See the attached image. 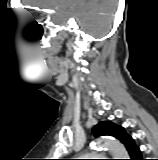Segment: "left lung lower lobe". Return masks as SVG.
I'll return each instance as SVG.
<instances>
[{
    "label": "left lung lower lobe",
    "instance_id": "0a47b994",
    "mask_svg": "<svg viewBox=\"0 0 158 160\" xmlns=\"http://www.w3.org/2000/svg\"><path fill=\"white\" fill-rule=\"evenodd\" d=\"M123 144L130 155V160H143L139 147L130 135L125 138Z\"/></svg>",
    "mask_w": 158,
    "mask_h": 160
}]
</instances>
